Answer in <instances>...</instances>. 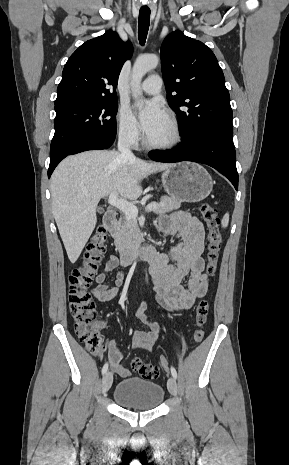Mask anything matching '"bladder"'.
I'll list each match as a JSON object with an SVG mask.
<instances>
[{"mask_svg":"<svg viewBox=\"0 0 289 465\" xmlns=\"http://www.w3.org/2000/svg\"><path fill=\"white\" fill-rule=\"evenodd\" d=\"M114 400L122 407L134 410H152L164 399L161 385L138 377L121 380L113 392Z\"/></svg>","mask_w":289,"mask_h":465,"instance_id":"1","label":"bladder"}]
</instances>
